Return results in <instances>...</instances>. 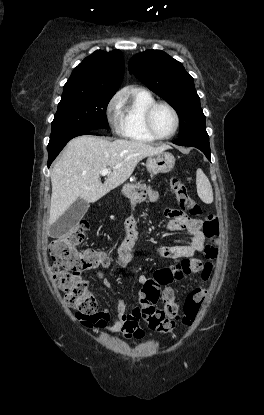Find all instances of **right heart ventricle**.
I'll list each match as a JSON object with an SVG mask.
<instances>
[{
	"instance_id": "right-heart-ventricle-1",
	"label": "right heart ventricle",
	"mask_w": 264,
	"mask_h": 415,
	"mask_svg": "<svg viewBox=\"0 0 264 415\" xmlns=\"http://www.w3.org/2000/svg\"><path fill=\"white\" fill-rule=\"evenodd\" d=\"M156 100L147 90H133L120 101L119 133L136 142L156 141L146 130L144 112Z\"/></svg>"
}]
</instances>
